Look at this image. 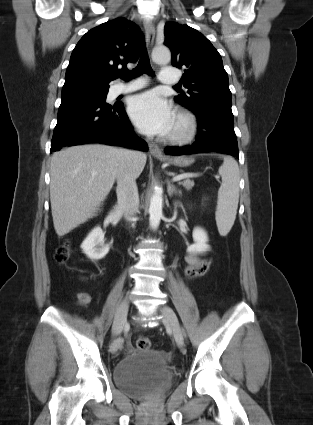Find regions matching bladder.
Returning <instances> with one entry per match:
<instances>
[{
  "label": "bladder",
  "instance_id": "1",
  "mask_svg": "<svg viewBox=\"0 0 313 425\" xmlns=\"http://www.w3.org/2000/svg\"><path fill=\"white\" fill-rule=\"evenodd\" d=\"M115 386L134 398L163 394L171 385L169 360L161 350L130 353L114 367Z\"/></svg>",
  "mask_w": 313,
  "mask_h": 425
}]
</instances>
